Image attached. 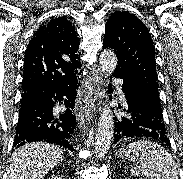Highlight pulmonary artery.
Wrapping results in <instances>:
<instances>
[{
	"instance_id": "obj_1",
	"label": "pulmonary artery",
	"mask_w": 183,
	"mask_h": 179,
	"mask_svg": "<svg viewBox=\"0 0 183 179\" xmlns=\"http://www.w3.org/2000/svg\"><path fill=\"white\" fill-rule=\"evenodd\" d=\"M115 84H118V81H115ZM118 92H119V95H120V98L122 101H125V95H124V92L122 91V89L119 87L118 89Z\"/></svg>"
}]
</instances>
